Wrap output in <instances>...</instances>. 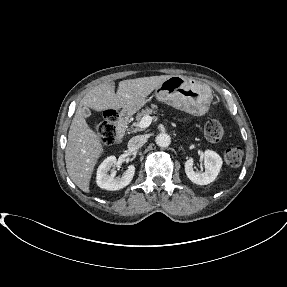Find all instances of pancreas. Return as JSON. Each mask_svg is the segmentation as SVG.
Here are the masks:
<instances>
[{"label":"pancreas","instance_id":"pancreas-1","mask_svg":"<svg viewBox=\"0 0 287 287\" xmlns=\"http://www.w3.org/2000/svg\"><path fill=\"white\" fill-rule=\"evenodd\" d=\"M157 105L152 104L151 107H147L146 109H143L141 112H139L136 116V121L132 123L131 129L132 132L141 131L142 128L139 127V122L145 115H151L153 113H156Z\"/></svg>","mask_w":287,"mask_h":287}]
</instances>
